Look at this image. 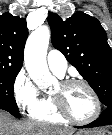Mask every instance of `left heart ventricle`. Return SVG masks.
<instances>
[{"instance_id": "obj_1", "label": "left heart ventricle", "mask_w": 112, "mask_h": 135, "mask_svg": "<svg viewBox=\"0 0 112 135\" xmlns=\"http://www.w3.org/2000/svg\"><path fill=\"white\" fill-rule=\"evenodd\" d=\"M51 94L62 97L67 110L78 119H86L94 111L93 98L84 86L73 85L63 88L57 84Z\"/></svg>"}]
</instances>
